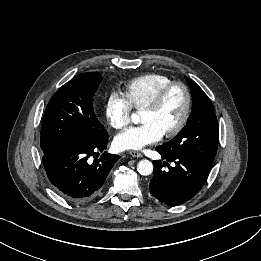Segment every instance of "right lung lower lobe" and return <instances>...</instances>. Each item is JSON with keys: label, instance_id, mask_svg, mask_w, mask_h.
I'll list each match as a JSON object with an SVG mask.
<instances>
[{"label": "right lung lower lobe", "instance_id": "right-lung-lower-lobe-1", "mask_svg": "<svg viewBox=\"0 0 261 261\" xmlns=\"http://www.w3.org/2000/svg\"><path fill=\"white\" fill-rule=\"evenodd\" d=\"M107 143L108 134L95 140L69 143L43 155L47 176L60 196L71 202H85L100 192L120 156L104 152L92 163L88 159L98 151L103 152Z\"/></svg>", "mask_w": 261, "mask_h": 261}]
</instances>
